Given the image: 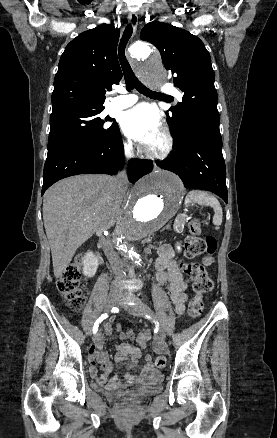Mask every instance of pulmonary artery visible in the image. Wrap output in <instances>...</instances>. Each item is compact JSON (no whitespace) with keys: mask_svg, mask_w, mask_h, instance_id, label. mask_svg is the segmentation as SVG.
<instances>
[{"mask_svg":"<svg viewBox=\"0 0 277 438\" xmlns=\"http://www.w3.org/2000/svg\"><path fill=\"white\" fill-rule=\"evenodd\" d=\"M156 86H157V88L161 89V88H163L164 85H163V83L159 82V83H157ZM136 92H137L136 89H134L132 87H124L122 89V94L124 96H132V95L136 94ZM136 102H137L136 97H118L112 101V105L114 108L122 110V109H126V108L131 107Z\"/></svg>","mask_w":277,"mask_h":438,"instance_id":"obj_1","label":"pulmonary artery"}]
</instances>
